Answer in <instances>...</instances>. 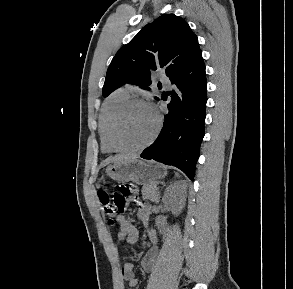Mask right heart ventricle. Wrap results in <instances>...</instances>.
<instances>
[{
    "instance_id": "right-heart-ventricle-1",
    "label": "right heart ventricle",
    "mask_w": 293,
    "mask_h": 289,
    "mask_svg": "<svg viewBox=\"0 0 293 289\" xmlns=\"http://www.w3.org/2000/svg\"><path fill=\"white\" fill-rule=\"evenodd\" d=\"M129 99V91L127 89H118L114 91L106 100L99 116L98 133L101 148L105 153L114 152L107 140L111 119L116 111Z\"/></svg>"
}]
</instances>
